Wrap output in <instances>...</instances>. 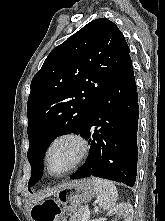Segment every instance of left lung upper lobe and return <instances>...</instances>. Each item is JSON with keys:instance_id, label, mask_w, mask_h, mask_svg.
<instances>
[{"instance_id": "5c2ea615", "label": "left lung upper lobe", "mask_w": 165, "mask_h": 221, "mask_svg": "<svg viewBox=\"0 0 165 221\" xmlns=\"http://www.w3.org/2000/svg\"><path fill=\"white\" fill-rule=\"evenodd\" d=\"M129 52L123 34L106 18L89 22L50 52L32 79L27 103L29 191L42 177L49 144L58 136L81 131Z\"/></svg>"}]
</instances>
